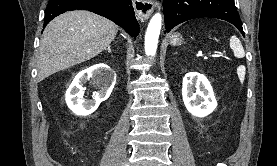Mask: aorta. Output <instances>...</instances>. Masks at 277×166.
Masks as SVG:
<instances>
[{"label": "aorta", "mask_w": 277, "mask_h": 166, "mask_svg": "<svg viewBox=\"0 0 277 166\" xmlns=\"http://www.w3.org/2000/svg\"><path fill=\"white\" fill-rule=\"evenodd\" d=\"M161 26V14L156 13L151 18L145 34V53L147 56H155L156 54Z\"/></svg>", "instance_id": "aorta-1"}]
</instances>
